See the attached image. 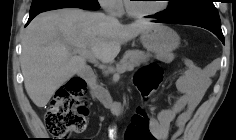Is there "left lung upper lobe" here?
Returning a JSON list of instances; mask_svg holds the SVG:
<instances>
[{"label": "left lung upper lobe", "instance_id": "1", "mask_svg": "<svg viewBox=\"0 0 236 140\" xmlns=\"http://www.w3.org/2000/svg\"><path fill=\"white\" fill-rule=\"evenodd\" d=\"M161 14L169 20L198 21L221 25L213 0H170Z\"/></svg>", "mask_w": 236, "mask_h": 140}]
</instances>
